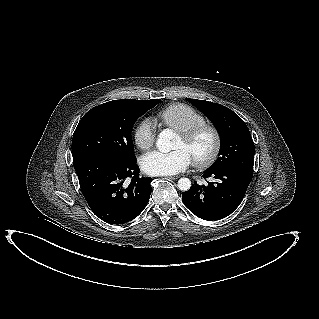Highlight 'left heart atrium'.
Returning <instances> with one entry per match:
<instances>
[{
  "instance_id": "39dd6f15",
  "label": "left heart atrium",
  "mask_w": 319,
  "mask_h": 319,
  "mask_svg": "<svg viewBox=\"0 0 319 319\" xmlns=\"http://www.w3.org/2000/svg\"><path fill=\"white\" fill-rule=\"evenodd\" d=\"M191 157L183 148L170 152L152 151L141 159L142 170L149 175H173L185 170Z\"/></svg>"
}]
</instances>
